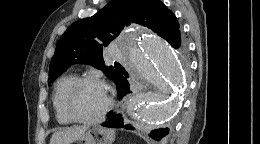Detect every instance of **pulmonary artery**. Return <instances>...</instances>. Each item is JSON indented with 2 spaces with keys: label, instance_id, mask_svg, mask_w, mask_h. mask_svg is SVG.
Segmentation results:
<instances>
[{
  "label": "pulmonary artery",
  "instance_id": "1",
  "mask_svg": "<svg viewBox=\"0 0 260 144\" xmlns=\"http://www.w3.org/2000/svg\"><path fill=\"white\" fill-rule=\"evenodd\" d=\"M111 55L116 60L124 59V55L117 49H112Z\"/></svg>",
  "mask_w": 260,
  "mask_h": 144
}]
</instances>
